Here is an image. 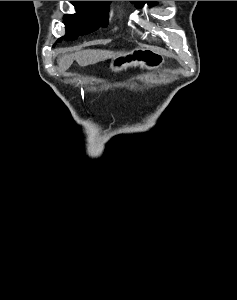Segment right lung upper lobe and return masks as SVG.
<instances>
[{"mask_svg":"<svg viewBox=\"0 0 237 300\" xmlns=\"http://www.w3.org/2000/svg\"><path fill=\"white\" fill-rule=\"evenodd\" d=\"M95 3H109L110 1H93Z\"/></svg>","mask_w":237,"mask_h":300,"instance_id":"1","label":"right lung upper lobe"}]
</instances>
